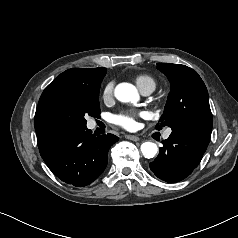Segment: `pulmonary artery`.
Returning a JSON list of instances; mask_svg holds the SVG:
<instances>
[{
    "label": "pulmonary artery",
    "instance_id": "pulmonary-artery-1",
    "mask_svg": "<svg viewBox=\"0 0 238 238\" xmlns=\"http://www.w3.org/2000/svg\"><path fill=\"white\" fill-rule=\"evenodd\" d=\"M152 91H153L152 89H146V90H143L142 93H143L144 95H148V94H150ZM170 134H171V130H167V131L164 133V136H163V137H164L165 139H167V138H169Z\"/></svg>",
    "mask_w": 238,
    "mask_h": 238
}]
</instances>
